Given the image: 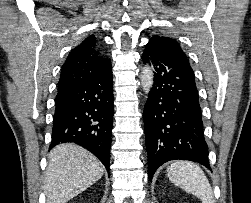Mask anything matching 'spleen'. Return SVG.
Returning <instances> with one entry per match:
<instances>
[{
	"instance_id": "spleen-1",
	"label": "spleen",
	"mask_w": 251,
	"mask_h": 203,
	"mask_svg": "<svg viewBox=\"0 0 251 203\" xmlns=\"http://www.w3.org/2000/svg\"><path fill=\"white\" fill-rule=\"evenodd\" d=\"M169 180L195 195L202 203H214L210 183L203 170L190 161L173 162L166 170Z\"/></svg>"
}]
</instances>
